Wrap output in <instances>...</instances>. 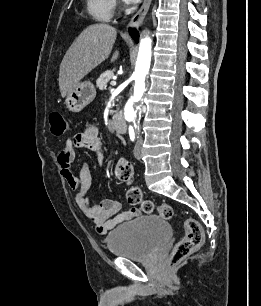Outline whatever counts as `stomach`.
Masks as SVG:
<instances>
[{"instance_id": "1", "label": "stomach", "mask_w": 261, "mask_h": 306, "mask_svg": "<svg viewBox=\"0 0 261 306\" xmlns=\"http://www.w3.org/2000/svg\"><path fill=\"white\" fill-rule=\"evenodd\" d=\"M96 96V89L90 81L78 83L65 99L66 107L71 112H80L90 104Z\"/></svg>"}]
</instances>
